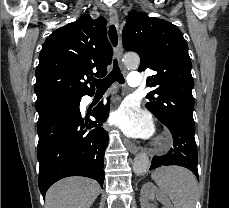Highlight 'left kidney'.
I'll return each mask as SVG.
<instances>
[{
	"mask_svg": "<svg viewBox=\"0 0 229 208\" xmlns=\"http://www.w3.org/2000/svg\"><path fill=\"white\" fill-rule=\"evenodd\" d=\"M140 196L142 208H153V206H150L149 200H154V198H157V200L163 204L164 208H172V204L167 196L162 194V192H160L154 184H151V182L143 184Z\"/></svg>",
	"mask_w": 229,
	"mask_h": 208,
	"instance_id": "5707ae66",
	"label": "left kidney"
}]
</instances>
